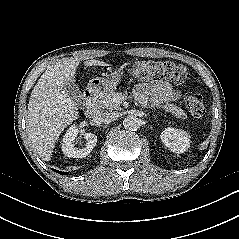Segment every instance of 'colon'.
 <instances>
[{
    "label": "colon",
    "mask_w": 239,
    "mask_h": 239,
    "mask_svg": "<svg viewBox=\"0 0 239 239\" xmlns=\"http://www.w3.org/2000/svg\"><path fill=\"white\" fill-rule=\"evenodd\" d=\"M130 74L139 81L162 77L179 85L185 84L190 79L189 72L183 65L169 61L140 60L131 66ZM184 102L193 116L204 115L205 105L201 94L191 92L185 96Z\"/></svg>",
    "instance_id": "1"
}]
</instances>
